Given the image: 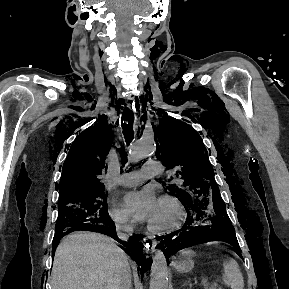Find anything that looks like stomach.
<instances>
[{
	"label": "stomach",
	"mask_w": 289,
	"mask_h": 289,
	"mask_svg": "<svg viewBox=\"0 0 289 289\" xmlns=\"http://www.w3.org/2000/svg\"><path fill=\"white\" fill-rule=\"evenodd\" d=\"M193 252L191 250H184L180 258L176 261L175 268L180 273H186L193 269L194 261L192 259Z\"/></svg>",
	"instance_id": "1"
}]
</instances>
